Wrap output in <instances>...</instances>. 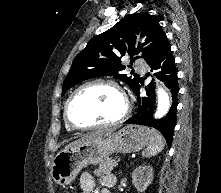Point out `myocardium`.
Listing matches in <instances>:
<instances>
[{"label": "myocardium", "instance_id": "myocardium-1", "mask_svg": "<svg viewBox=\"0 0 221 193\" xmlns=\"http://www.w3.org/2000/svg\"><path fill=\"white\" fill-rule=\"evenodd\" d=\"M92 85H106V86H110L112 88H114L122 97L123 102H124V109L122 114L115 120L110 121V122H106V123H97V124H92L89 126H81L79 124H77L76 122H74L70 116V106L71 103L73 101V99L75 98V96L84 88L88 87V86H92ZM130 103L128 100V97L125 93V91L123 90V88L114 80H110V79H103V78H97V79H92V80H88L82 84H80L68 97V99L66 100L65 103V107H64V117L66 120L67 125L74 129V130H78V131H89V130H95V129H103V128H113L116 126L121 125L129 116L130 114Z\"/></svg>", "mask_w": 221, "mask_h": 193}]
</instances>
